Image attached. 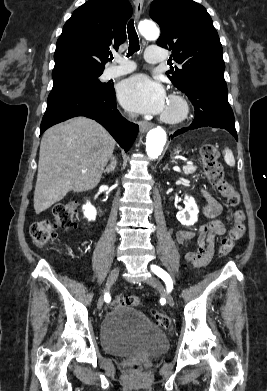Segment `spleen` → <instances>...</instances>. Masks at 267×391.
<instances>
[{"label":"spleen","instance_id":"obj_1","mask_svg":"<svg viewBox=\"0 0 267 391\" xmlns=\"http://www.w3.org/2000/svg\"><path fill=\"white\" fill-rule=\"evenodd\" d=\"M224 160L231 167H233L235 165V159H234L233 153L228 148H225V150H224Z\"/></svg>","mask_w":267,"mask_h":391}]
</instances>
